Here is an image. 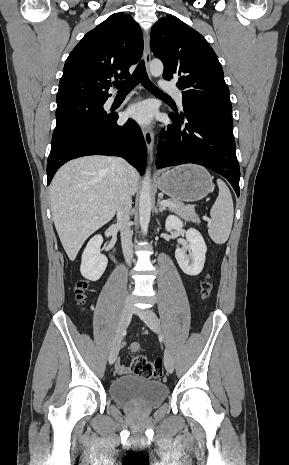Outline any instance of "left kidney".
<instances>
[{
  "instance_id": "obj_1",
  "label": "left kidney",
  "mask_w": 289,
  "mask_h": 465,
  "mask_svg": "<svg viewBox=\"0 0 289 465\" xmlns=\"http://www.w3.org/2000/svg\"><path fill=\"white\" fill-rule=\"evenodd\" d=\"M183 226V222L175 215H169L165 222L167 231L181 230ZM185 234L188 244L175 250V258L185 274L196 276L203 270L207 246L202 235L196 229L191 228Z\"/></svg>"
}]
</instances>
